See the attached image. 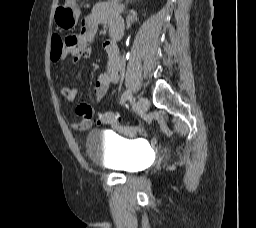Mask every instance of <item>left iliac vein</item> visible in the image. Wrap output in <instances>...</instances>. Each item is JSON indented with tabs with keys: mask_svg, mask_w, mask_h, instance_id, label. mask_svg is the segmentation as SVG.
Returning <instances> with one entry per match:
<instances>
[{
	"mask_svg": "<svg viewBox=\"0 0 256 228\" xmlns=\"http://www.w3.org/2000/svg\"><path fill=\"white\" fill-rule=\"evenodd\" d=\"M149 100L145 97H140L137 101V111L139 114H145L149 109Z\"/></svg>",
	"mask_w": 256,
	"mask_h": 228,
	"instance_id": "obj_1",
	"label": "left iliac vein"
}]
</instances>
